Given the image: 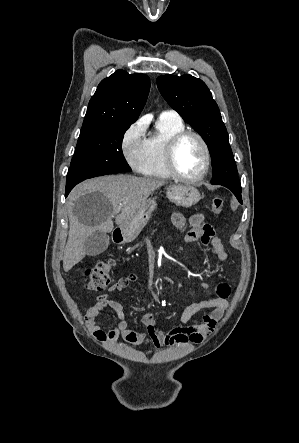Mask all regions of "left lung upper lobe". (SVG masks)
<instances>
[{
    "instance_id": "left-lung-upper-lobe-1",
    "label": "left lung upper lobe",
    "mask_w": 299,
    "mask_h": 443,
    "mask_svg": "<svg viewBox=\"0 0 299 443\" xmlns=\"http://www.w3.org/2000/svg\"><path fill=\"white\" fill-rule=\"evenodd\" d=\"M160 93L208 145L214 185L241 188L226 127L206 84L191 75H163L157 78Z\"/></svg>"
}]
</instances>
